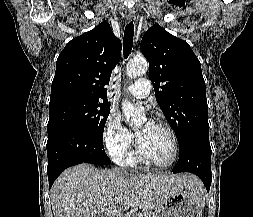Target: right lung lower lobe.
Returning <instances> with one entry per match:
<instances>
[{
    "label": "right lung lower lobe",
    "instance_id": "1",
    "mask_svg": "<svg viewBox=\"0 0 253 217\" xmlns=\"http://www.w3.org/2000/svg\"><path fill=\"white\" fill-rule=\"evenodd\" d=\"M48 179L51 188L55 179L66 168L80 164L108 165L103 138H98L84 130L65 128L48 134Z\"/></svg>",
    "mask_w": 253,
    "mask_h": 217
}]
</instances>
